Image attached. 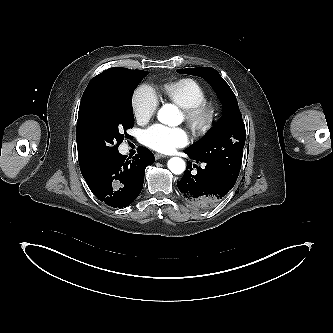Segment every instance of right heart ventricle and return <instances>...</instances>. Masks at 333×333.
Segmentation results:
<instances>
[{"label": "right heart ventricle", "instance_id": "e07e8e85", "mask_svg": "<svg viewBox=\"0 0 333 333\" xmlns=\"http://www.w3.org/2000/svg\"><path fill=\"white\" fill-rule=\"evenodd\" d=\"M162 91L169 100L182 109L192 107L207 99V92L204 87L191 78L166 82Z\"/></svg>", "mask_w": 333, "mask_h": 333}]
</instances>
